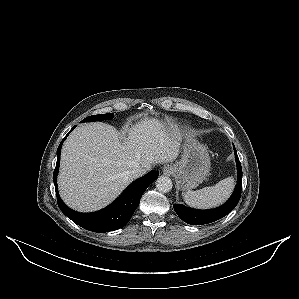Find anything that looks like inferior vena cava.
I'll return each instance as SVG.
<instances>
[{
	"instance_id": "inferior-vena-cava-1",
	"label": "inferior vena cava",
	"mask_w": 299,
	"mask_h": 299,
	"mask_svg": "<svg viewBox=\"0 0 299 299\" xmlns=\"http://www.w3.org/2000/svg\"><path fill=\"white\" fill-rule=\"evenodd\" d=\"M146 172H147V169H145L143 167H136L129 171V175L133 179H136V178L143 176Z\"/></svg>"
}]
</instances>
